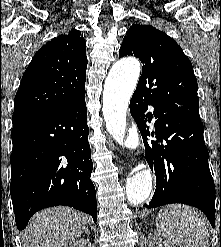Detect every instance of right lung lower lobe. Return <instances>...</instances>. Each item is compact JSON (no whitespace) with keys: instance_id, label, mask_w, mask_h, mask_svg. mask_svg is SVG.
Masks as SVG:
<instances>
[{"instance_id":"right-lung-lower-lobe-1","label":"right lung lower lobe","mask_w":221,"mask_h":247,"mask_svg":"<svg viewBox=\"0 0 221 247\" xmlns=\"http://www.w3.org/2000/svg\"><path fill=\"white\" fill-rule=\"evenodd\" d=\"M10 194L17 228L37 211L74 207L97 221L85 97L13 119Z\"/></svg>"}]
</instances>
